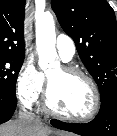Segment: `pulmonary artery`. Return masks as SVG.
I'll use <instances>...</instances> for the list:
<instances>
[{"instance_id":"pulmonary-artery-1","label":"pulmonary artery","mask_w":117,"mask_h":136,"mask_svg":"<svg viewBox=\"0 0 117 136\" xmlns=\"http://www.w3.org/2000/svg\"><path fill=\"white\" fill-rule=\"evenodd\" d=\"M56 49L63 61H71L75 54V44L71 37L61 34L56 39Z\"/></svg>"}]
</instances>
